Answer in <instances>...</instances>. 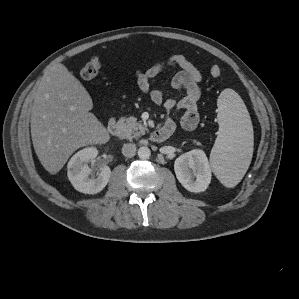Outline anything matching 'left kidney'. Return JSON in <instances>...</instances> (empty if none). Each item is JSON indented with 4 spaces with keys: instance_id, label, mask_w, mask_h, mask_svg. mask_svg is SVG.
<instances>
[{
    "instance_id": "left-kidney-1",
    "label": "left kidney",
    "mask_w": 299,
    "mask_h": 299,
    "mask_svg": "<svg viewBox=\"0 0 299 299\" xmlns=\"http://www.w3.org/2000/svg\"><path fill=\"white\" fill-rule=\"evenodd\" d=\"M178 181L190 192L199 193L207 189L211 181V168L203 150L194 149L180 155L174 163Z\"/></svg>"
}]
</instances>
